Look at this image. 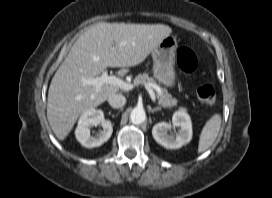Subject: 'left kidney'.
Segmentation results:
<instances>
[{
    "instance_id": "5707ae66",
    "label": "left kidney",
    "mask_w": 272,
    "mask_h": 198,
    "mask_svg": "<svg viewBox=\"0 0 272 198\" xmlns=\"http://www.w3.org/2000/svg\"><path fill=\"white\" fill-rule=\"evenodd\" d=\"M173 127H179L175 134H168L172 128L167 122L154 125L152 135L156 142L167 149H178L189 143L192 139V123L190 116L183 110L176 111L172 116Z\"/></svg>"
}]
</instances>
